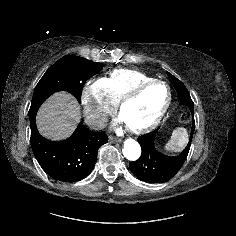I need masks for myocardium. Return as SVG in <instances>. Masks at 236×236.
<instances>
[{
    "label": "myocardium",
    "instance_id": "myocardium-1",
    "mask_svg": "<svg viewBox=\"0 0 236 236\" xmlns=\"http://www.w3.org/2000/svg\"><path fill=\"white\" fill-rule=\"evenodd\" d=\"M154 84H162L167 88V91H168L167 101L162 107V109L160 110V112L158 113V115L150 123L143 126H132V125L126 124L127 129L135 134H143V133L149 132L161 122V120L165 116L166 112L168 111L172 103L173 94H172L171 86L164 80L151 79L135 86L131 91H129L117 102V109H118L119 114L121 115L122 110L126 105L136 100L145 89H147L148 87Z\"/></svg>",
    "mask_w": 236,
    "mask_h": 236
}]
</instances>
